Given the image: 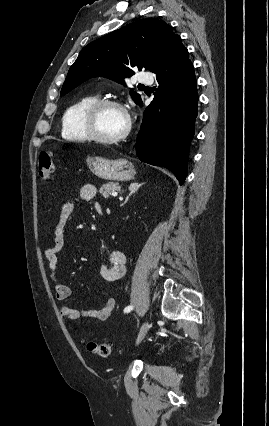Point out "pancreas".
Segmentation results:
<instances>
[{"label":"pancreas","mask_w":269,"mask_h":426,"mask_svg":"<svg viewBox=\"0 0 269 426\" xmlns=\"http://www.w3.org/2000/svg\"><path fill=\"white\" fill-rule=\"evenodd\" d=\"M121 189V186L118 183H106L103 184L99 190V192L102 194L104 198H108L113 191H119Z\"/></svg>","instance_id":"obj_1"}]
</instances>
